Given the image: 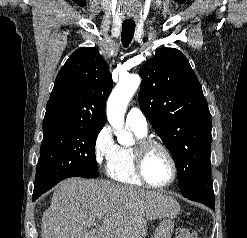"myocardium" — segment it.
<instances>
[{
    "instance_id": "obj_1",
    "label": "myocardium",
    "mask_w": 247,
    "mask_h": 238,
    "mask_svg": "<svg viewBox=\"0 0 247 238\" xmlns=\"http://www.w3.org/2000/svg\"><path fill=\"white\" fill-rule=\"evenodd\" d=\"M153 148H159L160 150H162L166 154V156L168 157L171 163L172 176L170 180L164 184H154L150 182L145 174L144 165H145L146 156L148 152ZM134 165H135L136 173L140 178V180L145 185L151 188H156V189L167 188L170 185H172L177 178L178 167L172 151L163 142L153 138H142L138 140V142L134 146Z\"/></svg>"
}]
</instances>
